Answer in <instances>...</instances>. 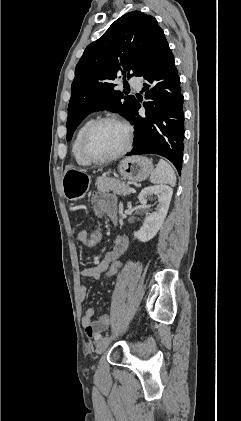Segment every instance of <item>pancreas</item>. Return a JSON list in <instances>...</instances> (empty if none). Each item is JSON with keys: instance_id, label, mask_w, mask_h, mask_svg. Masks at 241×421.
I'll return each mask as SVG.
<instances>
[{"instance_id": "obj_1", "label": "pancreas", "mask_w": 241, "mask_h": 421, "mask_svg": "<svg viewBox=\"0 0 241 421\" xmlns=\"http://www.w3.org/2000/svg\"><path fill=\"white\" fill-rule=\"evenodd\" d=\"M97 190L101 193L112 191L113 193L126 196L131 194L130 187L125 182L115 178L100 177L96 180Z\"/></svg>"}]
</instances>
